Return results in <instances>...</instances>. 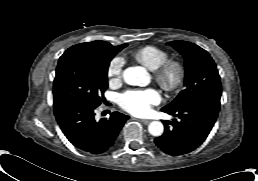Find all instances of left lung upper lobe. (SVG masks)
<instances>
[{"label": "left lung upper lobe", "instance_id": "5c2ea615", "mask_svg": "<svg viewBox=\"0 0 258 181\" xmlns=\"http://www.w3.org/2000/svg\"><path fill=\"white\" fill-rule=\"evenodd\" d=\"M167 44L174 47L185 58L186 88L163 108L176 110L203 100L220 102V76L209 53L190 42L171 41Z\"/></svg>", "mask_w": 258, "mask_h": 181}]
</instances>
